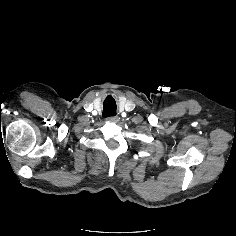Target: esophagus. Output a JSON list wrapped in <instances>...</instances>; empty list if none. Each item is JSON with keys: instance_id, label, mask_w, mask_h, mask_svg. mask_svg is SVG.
I'll return each mask as SVG.
<instances>
[{"instance_id": "34e87169", "label": "esophagus", "mask_w": 236, "mask_h": 236, "mask_svg": "<svg viewBox=\"0 0 236 236\" xmlns=\"http://www.w3.org/2000/svg\"><path fill=\"white\" fill-rule=\"evenodd\" d=\"M108 120L111 121V122H115L116 123V122L119 121V117L118 116H112V117H109Z\"/></svg>"}]
</instances>
